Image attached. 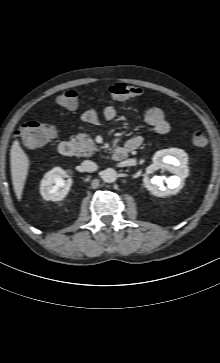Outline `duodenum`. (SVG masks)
<instances>
[{"label":"duodenum","mask_w":220,"mask_h":363,"mask_svg":"<svg viewBox=\"0 0 220 363\" xmlns=\"http://www.w3.org/2000/svg\"><path fill=\"white\" fill-rule=\"evenodd\" d=\"M58 153L61 156H71L75 152V145L68 140L61 141L57 147ZM128 149L123 147H117L112 152V157L115 161L124 160L128 155Z\"/></svg>","instance_id":"obj_1"}]
</instances>
